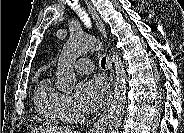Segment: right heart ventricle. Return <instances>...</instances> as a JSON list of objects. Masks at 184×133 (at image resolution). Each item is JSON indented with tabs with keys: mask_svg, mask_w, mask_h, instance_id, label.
Listing matches in <instances>:
<instances>
[{
	"mask_svg": "<svg viewBox=\"0 0 184 133\" xmlns=\"http://www.w3.org/2000/svg\"><path fill=\"white\" fill-rule=\"evenodd\" d=\"M62 97L49 77H44L38 84L34 102L38 113L49 123H59L64 119L62 114Z\"/></svg>",
	"mask_w": 184,
	"mask_h": 133,
	"instance_id": "obj_1",
	"label": "right heart ventricle"
}]
</instances>
